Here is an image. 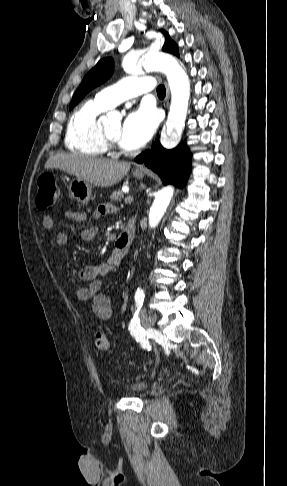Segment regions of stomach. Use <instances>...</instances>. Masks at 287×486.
Returning a JSON list of instances; mask_svg holds the SVG:
<instances>
[{"mask_svg":"<svg viewBox=\"0 0 287 486\" xmlns=\"http://www.w3.org/2000/svg\"><path fill=\"white\" fill-rule=\"evenodd\" d=\"M134 177L137 179H142L144 173L135 171ZM69 192L71 196L79 203L87 204L92 195V184L80 179H74L69 185Z\"/></svg>","mask_w":287,"mask_h":486,"instance_id":"stomach-1","label":"stomach"}]
</instances>
